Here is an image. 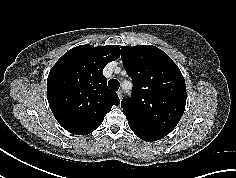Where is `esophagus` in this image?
Returning a JSON list of instances; mask_svg holds the SVG:
<instances>
[{"label": "esophagus", "mask_w": 236, "mask_h": 178, "mask_svg": "<svg viewBox=\"0 0 236 178\" xmlns=\"http://www.w3.org/2000/svg\"><path fill=\"white\" fill-rule=\"evenodd\" d=\"M117 95H118L119 99L121 100L122 99V91L121 90L117 91Z\"/></svg>", "instance_id": "1"}]
</instances>
